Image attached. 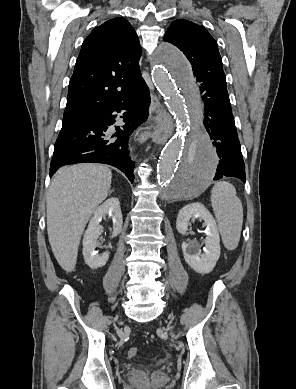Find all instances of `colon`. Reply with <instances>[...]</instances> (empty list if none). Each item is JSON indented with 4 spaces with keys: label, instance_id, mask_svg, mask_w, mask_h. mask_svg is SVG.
I'll use <instances>...</instances> for the list:
<instances>
[{
    "label": "colon",
    "instance_id": "5ec220e1",
    "mask_svg": "<svg viewBox=\"0 0 296 389\" xmlns=\"http://www.w3.org/2000/svg\"><path fill=\"white\" fill-rule=\"evenodd\" d=\"M137 354H138V350H137V348H135V347H132V348H130V349L128 350V356L131 357V358L136 357Z\"/></svg>",
    "mask_w": 296,
    "mask_h": 389
}]
</instances>
